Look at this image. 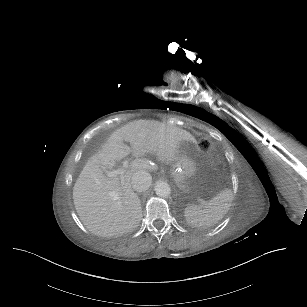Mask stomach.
<instances>
[{"mask_svg":"<svg viewBox=\"0 0 307 307\" xmlns=\"http://www.w3.org/2000/svg\"><path fill=\"white\" fill-rule=\"evenodd\" d=\"M201 156V149L192 142H184L179 157L174 162L172 176L181 190H189L194 182L196 168Z\"/></svg>","mask_w":307,"mask_h":307,"instance_id":"stomach-1","label":"stomach"}]
</instances>
